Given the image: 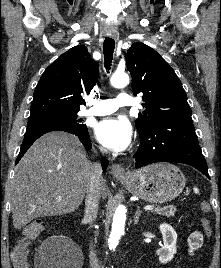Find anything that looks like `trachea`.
Returning <instances> with one entry per match:
<instances>
[{"label":"trachea","instance_id":"trachea-1","mask_svg":"<svg viewBox=\"0 0 221 268\" xmlns=\"http://www.w3.org/2000/svg\"><path fill=\"white\" fill-rule=\"evenodd\" d=\"M115 49V41L112 38L107 37L103 43V53H104V61H105V68L107 70L110 69L113 53Z\"/></svg>","mask_w":221,"mask_h":268}]
</instances>
